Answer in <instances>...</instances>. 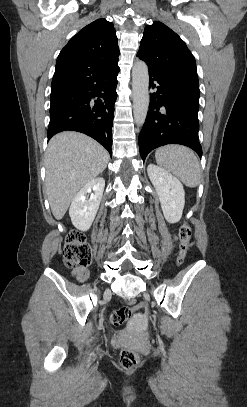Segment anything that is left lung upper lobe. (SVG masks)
<instances>
[{"mask_svg": "<svg viewBox=\"0 0 247 407\" xmlns=\"http://www.w3.org/2000/svg\"><path fill=\"white\" fill-rule=\"evenodd\" d=\"M137 56L151 71L198 82L196 61L190 50L174 31L159 21L145 27Z\"/></svg>", "mask_w": 247, "mask_h": 407, "instance_id": "obj_1", "label": "left lung upper lobe"}]
</instances>
